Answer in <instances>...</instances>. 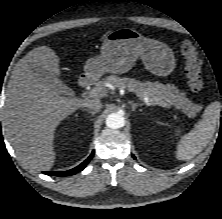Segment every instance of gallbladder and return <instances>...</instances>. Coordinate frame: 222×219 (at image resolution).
Segmentation results:
<instances>
[{
    "instance_id": "bac80fb5",
    "label": "gallbladder",
    "mask_w": 222,
    "mask_h": 219,
    "mask_svg": "<svg viewBox=\"0 0 222 219\" xmlns=\"http://www.w3.org/2000/svg\"><path fill=\"white\" fill-rule=\"evenodd\" d=\"M34 72L44 84L50 86L55 92L63 95L71 94V90L55 74L42 67H35Z\"/></svg>"
}]
</instances>
